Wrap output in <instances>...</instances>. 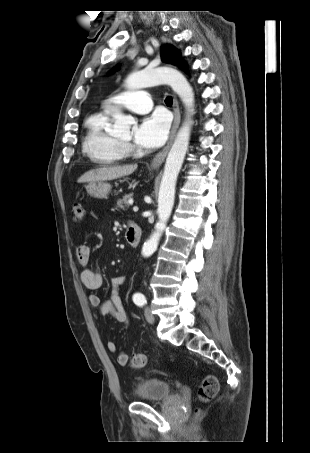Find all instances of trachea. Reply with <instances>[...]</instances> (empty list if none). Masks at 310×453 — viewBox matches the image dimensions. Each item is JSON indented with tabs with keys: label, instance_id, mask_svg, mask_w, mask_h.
<instances>
[{
	"label": "trachea",
	"instance_id": "1",
	"mask_svg": "<svg viewBox=\"0 0 310 453\" xmlns=\"http://www.w3.org/2000/svg\"><path fill=\"white\" fill-rule=\"evenodd\" d=\"M165 103H166V105H172V97L171 96L167 97L165 99Z\"/></svg>",
	"mask_w": 310,
	"mask_h": 453
}]
</instances>
